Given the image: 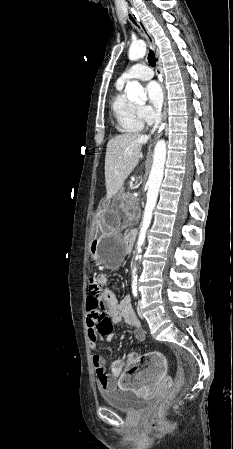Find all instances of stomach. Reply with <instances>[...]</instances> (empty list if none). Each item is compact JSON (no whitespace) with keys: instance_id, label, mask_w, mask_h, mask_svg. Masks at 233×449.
<instances>
[{"instance_id":"stomach-1","label":"stomach","mask_w":233,"mask_h":449,"mask_svg":"<svg viewBox=\"0 0 233 449\" xmlns=\"http://www.w3.org/2000/svg\"><path fill=\"white\" fill-rule=\"evenodd\" d=\"M99 210H118V201H99ZM120 220L119 212H93V221L97 225L98 238L90 243V253L94 260L107 268L117 269L123 258V244L114 233Z\"/></svg>"}]
</instances>
